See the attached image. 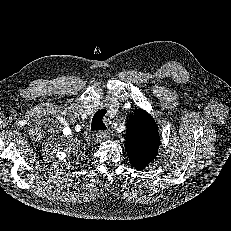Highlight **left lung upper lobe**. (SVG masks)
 Instances as JSON below:
<instances>
[{
	"label": "left lung upper lobe",
	"instance_id": "left-lung-upper-lobe-1",
	"mask_svg": "<svg viewBox=\"0 0 231 231\" xmlns=\"http://www.w3.org/2000/svg\"><path fill=\"white\" fill-rule=\"evenodd\" d=\"M158 127L153 118L139 110L127 123L125 150L130 163L137 170L148 166L155 158L159 148Z\"/></svg>",
	"mask_w": 231,
	"mask_h": 231
}]
</instances>
